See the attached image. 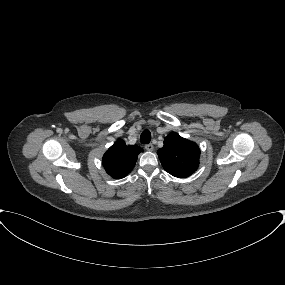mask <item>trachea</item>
Returning a JSON list of instances; mask_svg holds the SVG:
<instances>
[{
  "label": "trachea",
  "mask_w": 285,
  "mask_h": 285,
  "mask_svg": "<svg viewBox=\"0 0 285 285\" xmlns=\"http://www.w3.org/2000/svg\"><path fill=\"white\" fill-rule=\"evenodd\" d=\"M151 141V133L148 129H145L140 136V142L143 144H148Z\"/></svg>",
  "instance_id": "3493384b"
}]
</instances>
